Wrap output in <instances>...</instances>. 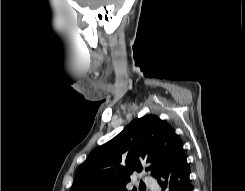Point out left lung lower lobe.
Instances as JSON below:
<instances>
[{
	"instance_id": "left-lung-lower-lobe-1",
	"label": "left lung lower lobe",
	"mask_w": 245,
	"mask_h": 191,
	"mask_svg": "<svg viewBox=\"0 0 245 191\" xmlns=\"http://www.w3.org/2000/svg\"><path fill=\"white\" fill-rule=\"evenodd\" d=\"M162 191H192L190 172L184 149L181 148L172 163L158 176Z\"/></svg>"
}]
</instances>
